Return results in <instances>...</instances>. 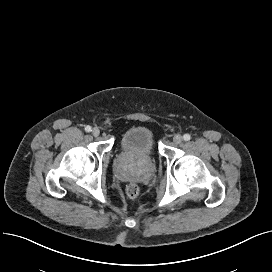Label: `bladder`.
<instances>
[{
    "label": "bladder",
    "mask_w": 272,
    "mask_h": 272,
    "mask_svg": "<svg viewBox=\"0 0 272 272\" xmlns=\"http://www.w3.org/2000/svg\"><path fill=\"white\" fill-rule=\"evenodd\" d=\"M120 146L129 153L151 156L156 149L155 132L143 125L131 127L121 136Z\"/></svg>",
    "instance_id": "obj_1"
}]
</instances>
